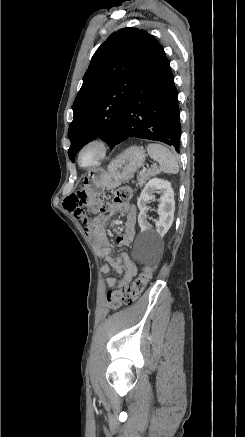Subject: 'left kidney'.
<instances>
[{
	"instance_id": "1",
	"label": "left kidney",
	"mask_w": 245,
	"mask_h": 437,
	"mask_svg": "<svg viewBox=\"0 0 245 437\" xmlns=\"http://www.w3.org/2000/svg\"><path fill=\"white\" fill-rule=\"evenodd\" d=\"M155 192L161 196L157 211L159 218L155 222L156 229H152L147 223V212L149 210L147 203L155 199L153 195ZM137 206L140 210L138 223L141 233L152 240L162 238L168 232L174 220L175 200L171 183L159 178L151 179L142 190Z\"/></svg>"
}]
</instances>
